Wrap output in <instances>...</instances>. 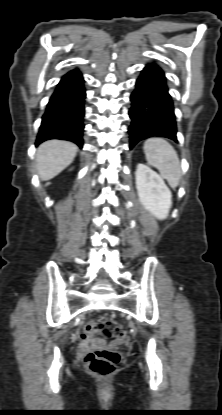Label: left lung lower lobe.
<instances>
[{"label": "left lung lower lobe", "instance_id": "0a47b994", "mask_svg": "<svg viewBox=\"0 0 222 415\" xmlns=\"http://www.w3.org/2000/svg\"><path fill=\"white\" fill-rule=\"evenodd\" d=\"M130 100V149L139 141L152 136L177 142L173 101L165 72L159 65L151 63L145 66L136 81Z\"/></svg>", "mask_w": 222, "mask_h": 415}]
</instances>
